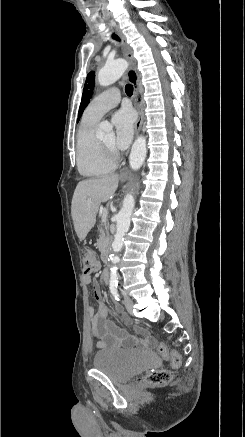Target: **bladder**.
<instances>
[{"mask_svg":"<svg viewBox=\"0 0 245 437\" xmlns=\"http://www.w3.org/2000/svg\"><path fill=\"white\" fill-rule=\"evenodd\" d=\"M156 363L157 358L152 352L115 348L100 350L93 359V367L116 383L128 382Z\"/></svg>","mask_w":245,"mask_h":437,"instance_id":"bladder-1","label":"bladder"}]
</instances>
